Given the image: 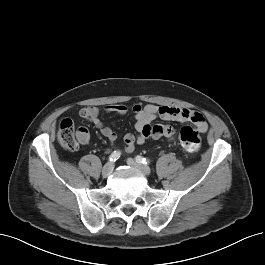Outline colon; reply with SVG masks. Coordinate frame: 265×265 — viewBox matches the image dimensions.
<instances>
[{
  "instance_id": "5ec220e1",
  "label": "colon",
  "mask_w": 265,
  "mask_h": 265,
  "mask_svg": "<svg viewBox=\"0 0 265 265\" xmlns=\"http://www.w3.org/2000/svg\"><path fill=\"white\" fill-rule=\"evenodd\" d=\"M57 139L59 144L68 151H75L79 147V140L74 124L70 119L61 120ZM201 136L197 129L191 126H184L179 133V143L188 153H196L201 147Z\"/></svg>"
}]
</instances>
